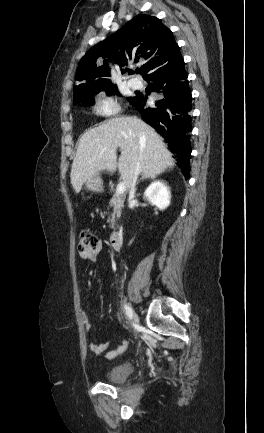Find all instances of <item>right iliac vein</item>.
<instances>
[{"label":"right iliac vein","instance_id":"right-iliac-vein-1","mask_svg":"<svg viewBox=\"0 0 264 433\" xmlns=\"http://www.w3.org/2000/svg\"><path fill=\"white\" fill-rule=\"evenodd\" d=\"M131 309H132V308H131ZM132 319H133L134 322H137V321H138V316H137V314L133 311V309H132Z\"/></svg>","mask_w":264,"mask_h":433}]
</instances>
